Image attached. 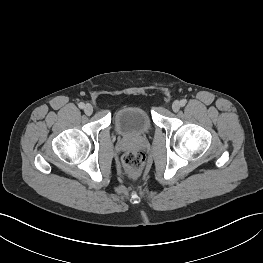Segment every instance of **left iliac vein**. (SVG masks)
I'll list each match as a JSON object with an SVG mask.
<instances>
[{"mask_svg": "<svg viewBox=\"0 0 263 263\" xmlns=\"http://www.w3.org/2000/svg\"><path fill=\"white\" fill-rule=\"evenodd\" d=\"M180 102L179 101H174L173 104H172V110L174 112H178L180 110Z\"/></svg>", "mask_w": 263, "mask_h": 263, "instance_id": "4c4485c4", "label": "left iliac vein"}]
</instances>
